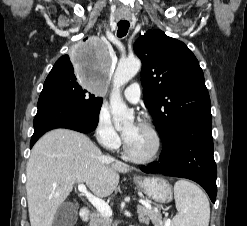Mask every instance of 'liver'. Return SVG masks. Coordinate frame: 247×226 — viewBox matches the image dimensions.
I'll return each instance as SVG.
<instances>
[{
	"mask_svg": "<svg viewBox=\"0 0 247 226\" xmlns=\"http://www.w3.org/2000/svg\"><path fill=\"white\" fill-rule=\"evenodd\" d=\"M129 166L104 156L84 134L55 129L34 145L26 168L31 226H52L54 215L75 183H85L100 198L113 193L119 173Z\"/></svg>",
	"mask_w": 247,
	"mask_h": 226,
	"instance_id": "1",
	"label": "liver"
}]
</instances>
